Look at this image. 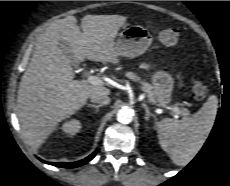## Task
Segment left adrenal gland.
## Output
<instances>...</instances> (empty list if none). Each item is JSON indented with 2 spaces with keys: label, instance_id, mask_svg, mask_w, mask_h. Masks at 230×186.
Listing matches in <instances>:
<instances>
[{
  "label": "left adrenal gland",
  "instance_id": "left-adrenal-gland-1",
  "mask_svg": "<svg viewBox=\"0 0 230 186\" xmlns=\"http://www.w3.org/2000/svg\"><path fill=\"white\" fill-rule=\"evenodd\" d=\"M142 107L145 109V120L149 121L150 117L155 119V115L150 113L148 106L145 103H142Z\"/></svg>",
  "mask_w": 230,
  "mask_h": 186
}]
</instances>
